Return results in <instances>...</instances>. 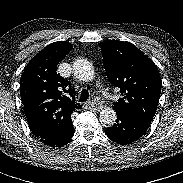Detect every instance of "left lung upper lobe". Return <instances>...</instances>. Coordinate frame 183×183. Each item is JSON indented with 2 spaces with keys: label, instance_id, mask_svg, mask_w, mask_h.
Returning a JSON list of instances; mask_svg holds the SVG:
<instances>
[{
  "label": "left lung upper lobe",
  "instance_id": "1",
  "mask_svg": "<svg viewBox=\"0 0 183 183\" xmlns=\"http://www.w3.org/2000/svg\"><path fill=\"white\" fill-rule=\"evenodd\" d=\"M109 82L123 96L113 103L116 113L139 117L151 123L161 93L157 66L129 42L106 40L99 43Z\"/></svg>",
  "mask_w": 183,
  "mask_h": 183
}]
</instances>
